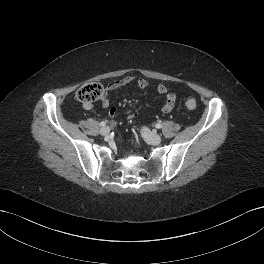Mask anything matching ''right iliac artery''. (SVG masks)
Instances as JSON below:
<instances>
[{
	"label": "right iliac artery",
	"instance_id": "right-iliac-artery-1",
	"mask_svg": "<svg viewBox=\"0 0 264 264\" xmlns=\"http://www.w3.org/2000/svg\"><path fill=\"white\" fill-rule=\"evenodd\" d=\"M106 121H102L101 123H100V126H102V127H104L105 125H106Z\"/></svg>",
	"mask_w": 264,
	"mask_h": 264
}]
</instances>
